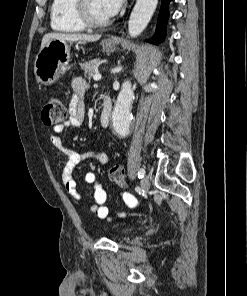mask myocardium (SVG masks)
Listing matches in <instances>:
<instances>
[{"label": "myocardium", "instance_id": "f54148a6", "mask_svg": "<svg viewBox=\"0 0 247 296\" xmlns=\"http://www.w3.org/2000/svg\"><path fill=\"white\" fill-rule=\"evenodd\" d=\"M74 16L76 20L84 27V28H102L106 27L110 20L106 19L103 21H95L93 20L88 13L87 2L88 0H74Z\"/></svg>", "mask_w": 247, "mask_h": 296}]
</instances>
